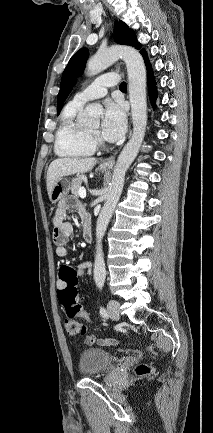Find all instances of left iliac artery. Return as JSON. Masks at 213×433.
I'll return each mask as SVG.
<instances>
[{"mask_svg":"<svg viewBox=\"0 0 213 433\" xmlns=\"http://www.w3.org/2000/svg\"><path fill=\"white\" fill-rule=\"evenodd\" d=\"M100 315L103 318H107L108 317V313H107L106 309L104 307H102V306L100 307Z\"/></svg>","mask_w":213,"mask_h":433,"instance_id":"obj_1","label":"left iliac artery"}]
</instances>
